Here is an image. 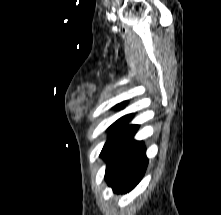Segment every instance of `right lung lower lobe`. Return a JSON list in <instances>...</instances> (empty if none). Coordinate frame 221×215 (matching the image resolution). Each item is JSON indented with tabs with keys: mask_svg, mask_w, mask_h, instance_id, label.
Wrapping results in <instances>:
<instances>
[{
	"mask_svg": "<svg viewBox=\"0 0 221 215\" xmlns=\"http://www.w3.org/2000/svg\"><path fill=\"white\" fill-rule=\"evenodd\" d=\"M138 125L123 126L107 144L105 179L116 193L133 189L143 177L148 159L141 141L133 139Z\"/></svg>",
	"mask_w": 221,
	"mask_h": 215,
	"instance_id": "right-lung-lower-lobe-1",
	"label": "right lung lower lobe"
}]
</instances>
